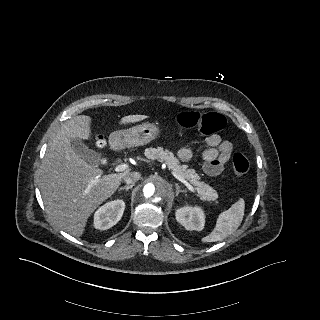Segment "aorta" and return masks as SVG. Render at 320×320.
<instances>
[{
	"instance_id": "obj_1",
	"label": "aorta",
	"mask_w": 320,
	"mask_h": 320,
	"mask_svg": "<svg viewBox=\"0 0 320 320\" xmlns=\"http://www.w3.org/2000/svg\"><path fill=\"white\" fill-rule=\"evenodd\" d=\"M170 193L168 183L158 176L149 179L141 191L143 202L156 208L164 202Z\"/></svg>"
}]
</instances>
